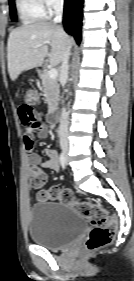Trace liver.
Returning a JSON list of instances; mask_svg holds the SVG:
<instances>
[{"instance_id":"1","label":"liver","mask_w":134,"mask_h":281,"mask_svg":"<svg viewBox=\"0 0 134 281\" xmlns=\"http://www.w3.org/2000/svg\"><path fill=\"white\" fill-rule=\"evenodd\" d=\"M71 42L63 28L51 22L38 21L14 29L7 43L10 78L14 81L21 72L41 66L47 55L51 65H59ZM38 44L42 46L33 48ZM48 44L51 46L50 53Z\"/></svg>"}]
</instances>
